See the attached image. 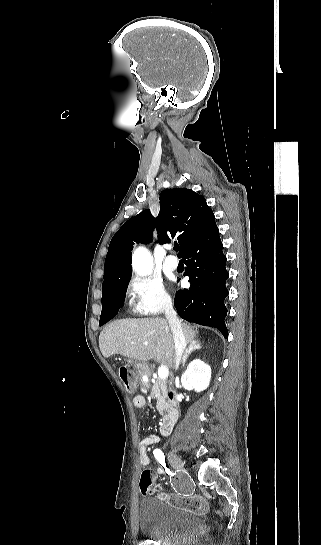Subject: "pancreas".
<instances>
[{
	"mask_svg": "<svg viewBox=\"0 0 321 545\" xmlns=\"http://www.w3.org/2000/svg\"><path fill=\"white\" fill-rule=\"evenodd\" d=\"M147 377L152 375V367H149L148 371H145ZM169 381L168 379H157L156 383H152L151 395H154L157 401V411L160 415H163V411L166 409V399H168Z\"/></svg>",
	"mask_w": 321,
	"mask_h": 545,
	"instance_id": "obj_1",
	"label": "pancreas"
}]
</instances>
